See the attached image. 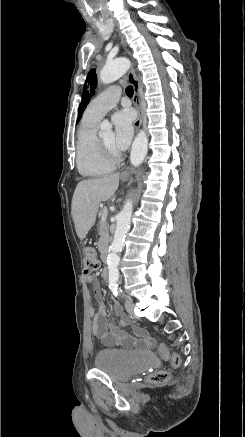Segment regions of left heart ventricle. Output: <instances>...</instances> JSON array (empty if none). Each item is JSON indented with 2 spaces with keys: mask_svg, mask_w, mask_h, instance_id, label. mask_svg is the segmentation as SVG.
Listing matches in <instances>:
<instances>
[{
  "mask_svg": "<svg viewBox=\"0 0 245 437\" xmlns=\"http://www.w3.org/2000/svg\"><path fill=\"white\" fill-rule=\"evenodd\" d=\"M103 144L112 152H116L114 148V135L112 133H106L100 137Z\"/></svg>",
  "mask_w": 245,
  "mask_h": 437,
  "instance_id": "obj_1",
  "label": "left heart ventricle"
}]
</instances>
